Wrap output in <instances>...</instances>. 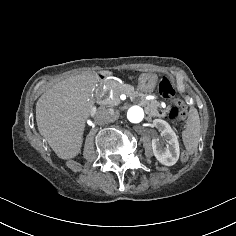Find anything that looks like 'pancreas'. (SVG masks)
Returning a JSON list of instances; mask_svg holds the SVG:
<instances>
[{"label": "pancreas", "instance_id": "obj_1", "mask_svg": "<svg viewBox=\"0 0 236 236\" xmlns=\"http://www.w3.org/2000/svg\"><path fill=\"white\" fill-rule=\"evenodd\" d=\"M111 87L113 89L115 97H119L121 94L127 95L132 101L138 102V104L144 107L145 113L149 117H165L167 110H161V104L156 100H147L145 94L139 93L134 90V87L129 84H119L112 82Z\"/></svg>", "mask_w": 236, "mask_h": 236}]
</instances>
